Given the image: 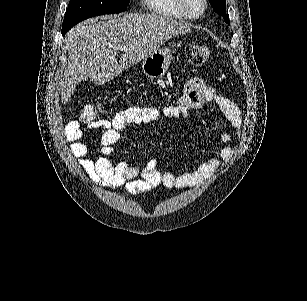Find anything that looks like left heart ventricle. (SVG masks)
<instances>
[{"instance_id": "left-heart-ventricle-1", "label": "left heart ventricle", "mask_w": 307, "mask_h": 301, "mask_svg": "<svg viewBox=\"0 0 307 301\" xmlns=\"http://www.w3.org/2000/svg\"><path fill=\"white\" fill-rule=\"evenodd\" d=\"M186 2H190L191 5H196L197 0H186ZM197 12H198V7L197 6H191L188 13H197Z\"/></svg>"}]
</instances>
